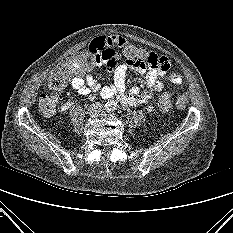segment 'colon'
<instances>
[{"instance_id": "5ec220e1", "label": "colon", "mask_w": 233, "mask_h": 233, "mask_svg": "<svg viewBox=\"0 0 233 233\" xmlns=\"http://www.w3.org/2000/svg\"><path fill=\"white\" fill-rule=\"evenodd\" d=\"M120 47L123 48V53L128 63L163 68L168 66V62L153 58L151 53L144 48L126 43L121 44ZM101 58L102 55L92 49L83 50L74 54L50 72L47 80L48 88L56 92L61 91L72 76L91 70L95 65L100 63ZM57 100L58 97L55 93L42 94L39 99L40 110L45 115H52L56 110ZM172 105V92L166 91L158 97V107L161 111H169Z\"/></svg>"}]
</instances>
